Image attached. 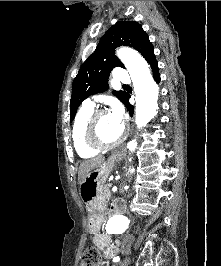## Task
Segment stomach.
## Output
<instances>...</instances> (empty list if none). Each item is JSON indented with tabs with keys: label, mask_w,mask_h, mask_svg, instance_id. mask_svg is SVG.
<instances>
[{
	"label": "stomach",
	"mask_w": 221,
	"mask_h": 266,
	"mask_svg": "<svg viewBox=\"0 0 221 266\" xmlns=\"http://www.w3.org/2000/svg\"><path fill=\"white\" fill-rule=\"evenodd\" d=\"M118 157L112 156L107 162L90 171L80 182L79 194L89 207V228L96 229L101 220V212L106 205L104 183Z\"/></svg>",
	"instance_id": "1"
}]
</instances>
